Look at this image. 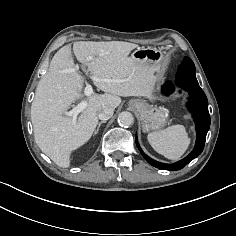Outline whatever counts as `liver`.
I'll return each instance as SVG.
<instances>
[{
    "label": "liver",
    "mask_w": 236,
    "mask_h": 236,
    "mask_svg": "<svg viewBox=\"0 0 236 236\" xmlns=\"http://www.w3.org/2000/svg\"><path fill=\"white\" fill-rule=\"evenodd\" d=\"M138 45L124 41H77L73 52L78 61L88 67L92 76L107 79L94 81L104 91L84 100L86 108L76 123L65 111L82 97L84 78L73 70L71 46H63L54 55L46 74L36 88L31 106V121L38 147L55 164L67 168L71 153L87 143L97 124L98 113L105 107L115 109L120 97L148 96L151 93L154 72L159 65H151L128 57ZM91 57V60L87 58Z\"/></svg>",
    "instance_id": "liver-1"
}]
</instances>
